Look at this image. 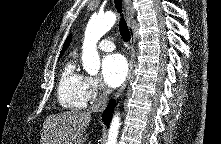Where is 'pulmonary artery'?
I'll return each instance as SVG.
<instances>
[{
    "mask_svg": "<svg viewBox=\"0 0 221 144\" xmlns=\"http://www.w3.org/2000/svg\"><path fill=\"white\" fill-rule=\"evenodd\" d=\"M98 47L102 51L110 52V51H113L115 49V44L110 40L104 39V40L99 42Z\"/></svg>",
    "mask_w": 221,
    "mask_h": 144,
    "instance_id": "obj_1",
    "label": "pulmonary artery"
}]
</instances>
